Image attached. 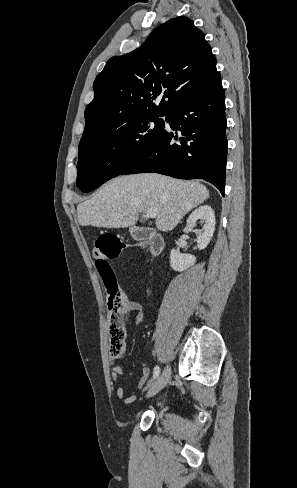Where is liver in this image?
Masks as SVG:
<instances>
[{"instance_id":"1","label":"liver","mask_w":297,"mask_h":488,"mask_svg":"<svg viewBox=\"0 0 297 488\" xmlns=\"http://www.w3.org/2000/svg\"><path fill=\"white\" fill-rule=\"evenodd\" d=\"M208 196L206 186L198 182L157 173L120 176L77 206L78 222L81 226L125 228L134 225L141 212L156 209V227L169 231Z\"/></svg>"}]
</instances>
